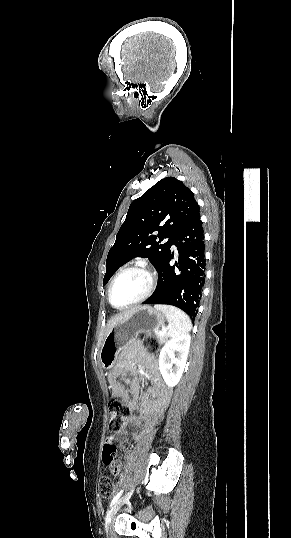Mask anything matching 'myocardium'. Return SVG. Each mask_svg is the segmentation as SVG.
Instances as JSON below:
<instances>
[{
  "mask_svg": "<svg viewBox=\"0 0 291 538\" xmlns=\"http://www.w3.org/2000/svg\"><path fill=\"white\" fill-rule=\"evenodd\" d=\"M129 271H140L142 273H144L147 277H148V280H149V285H148V288L146 290V292L140 296L139 298H137L136 300L128 303V304H125V305H122V306H117L113 303L112 301V290H113V286L116 282V280L124 273L126 272H129ZM156 284H157V277H156V274L154 273V271H152L149 267L143 265V264H134V265H130V266H127L123 269H121L120 271H118L114 277L112 278V280L110 281L109 283V287H108V301L109 303L111 304L112 307L116 308V309H125V308H129L131 306H134V305H137V304H140L142 302H144L145 300H147L153 293L155 287H156Z\"/></svg>",
  "mask_w": 291,
  "mask_h": 538,
  "instance_id": "f54148a6",
  "label": "myocardium"
}]
</instances>
